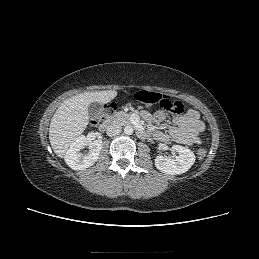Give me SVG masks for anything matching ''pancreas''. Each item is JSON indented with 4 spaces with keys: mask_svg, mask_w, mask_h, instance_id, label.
<instances>
[{
    "mask_svg": "<svg viewBox=\"0 0 259 259\" xmlns=\"http://www.w3.org/2000/svg\"><path fill=\"white\" fill-rule=\"evenodd\" d=\"M111 119L115 120L116 122H118L120 124H128V123H130L129 114H127L124 111L117 112L116 114L111 116Z\"/></svg>",
    "mask_w": 259,
    "mask_h": 259,
    "instance_id": "cf45deb5",
    "label": "pancreas"
}]
</instances>
